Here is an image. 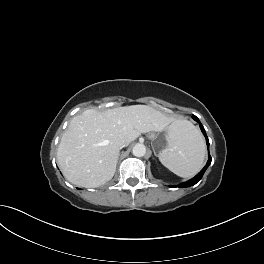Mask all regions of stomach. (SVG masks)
Here are the masks:
<instances>
[{"label": "stomach", "mask_w": 264, "mask_h": 264, "mask_svg": "<svg viewBox=\"0 0 264 264\" xmlns=\"http://www.w3.org/2000/svg\"><path fill=\"white\" fill-rule=\"evenodd\" d=\"M172 129H173V126L172 125L169 126L167 128V134L166 135L163 133H151L149 135V138L151 139V144H152L154 149L164 148L166 146V144H167V147L169 146V137H170V134L172 132Z\"/></svg>", "instance_id": "obj_1"}]
</instances>
